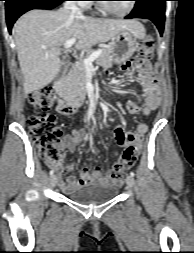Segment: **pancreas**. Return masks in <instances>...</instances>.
<instances>
[{
    "label": "pancreas",
    "mask_w": 194,
    "mask_h": 253,
    "mask_svg": "<svg viewBox=\"0 0 194 253\" xmlns=\"http://www.w3.org/2000/svg\"><path fill=\"white\" fill-rule=\"evenodd\" d=\"M101 55L96 59V64L109 68L113 64L111 48H102ZM92 53L90 52L87 57ZM87 73L83 60L75 63L63 81V94L70 103L78 102L84 99L86 95Z\"/></svg>",
    "instance_id": "pancreas-1"
}]
</instances>
